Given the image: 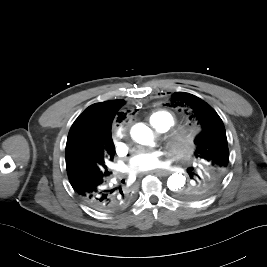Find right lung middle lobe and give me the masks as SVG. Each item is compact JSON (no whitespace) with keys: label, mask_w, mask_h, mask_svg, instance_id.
Segmentation results:
<instances>
[{"label":"right lung middle lobe","mask_w":267,"mask_h":267,"mask_svg":"<svg viewBox=\"0 0 267 267\" xmlns=\"http://www.w3.org/2000/svg\"><path fill=\"white\" fill-rule=\"evenodd\" d=\"M79 144L66 147V168L70 182L83 176H109L112 174L109 168L113 160L115 148L111 135L100 141L95 137L82 134Z\"/></svg>","instance_id":"1"}]
</instances>
